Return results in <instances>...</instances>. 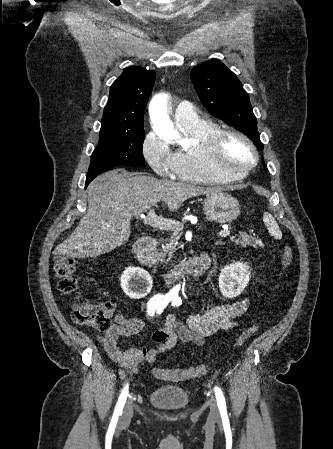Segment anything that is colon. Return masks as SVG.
<instances>
[{"label": "colon", "instance_id": "colon-1", "mask_svg": "<svg viewBox=\"0 0 333 449\" xmlns=\"http://www.w3.org/2000/svg\"><path fill=\"white\" fill-rule=\"evenodd\" d=\"M281 263L288 268L294 260L292 249L283 246L280 250ZM52 267L58 279V289L63 293H71L77 288L74 277L76 264L68 256L57 255L53 258ZM113 304L111 302L96 303L88 298L79 299L72 307V319L82 325L89 326L98 331H106L111 327ZM257 325L249 326L235 341L234 348L238 349L256 332ZM207 368L204 365L188 369L154 368L153 374L157 378L170 381H184L204 375Z\"/></svg>", "mask_w": 333, "mask_h": 449}]
</instances>
